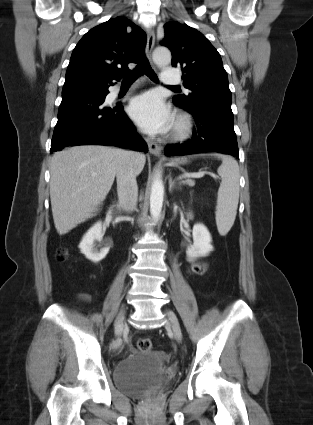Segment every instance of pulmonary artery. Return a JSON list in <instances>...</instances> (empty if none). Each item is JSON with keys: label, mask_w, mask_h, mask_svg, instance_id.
I'll use <instances>...</instances> for the list:
<instances>
[{"label": "pulmonary artery", "mask_w": 313, "mask_h": 425, "mask_svg": "<svg viewBox=\"0 0 313 425\" xmlns=\"http://www.w3.org/2000/svg\"><path fill=\"white\" fill-rule=\"evenodd\" d=\"M161 82L165 85H177L181 82L179 73L172 68H165L161 75ZM119 91V88L115 89V93Z\"/></svg>", "instance_id": "1"}]
</instances>
